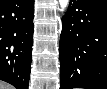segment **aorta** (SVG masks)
<instances>
[{
  "mask_svg": "<svg viewBox=\"0 0 107 89\" xmlns=\"http://www.w3.org/2000/svg\"><path fill=\"white\" fill-rule=\"evenodd\" d=\"M59 4L62 11H65L68 7L69 0H59Z\"/></svg>",
  "mask_w": 107,
  "mask_h": 89,
  "instance_id": "762f6f07",
  "label": "aorta"
}]
</instances>
